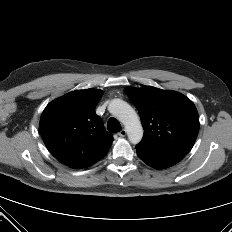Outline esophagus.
<instances>
[{"label": "esophagus", "instance_id": "34e87169", "mask_svg": "<svg viewBox=\"0 0 232 232\" xmlns=\"http://www.w3.org/2000/svg\"><path fill=\"white\" fill-rule=\"evenodd\" d=\"M126 130L125 129H122L119 133H118V135L120 136V137H125L126 136Z\"/></svg>", "mask_w": 232, "mask_h": 232}]
</instances>
